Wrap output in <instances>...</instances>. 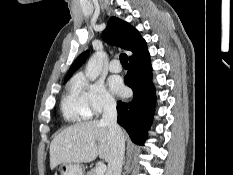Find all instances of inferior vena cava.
Returning a JSON list of instances; mask_svg holds the SVG:
<instances>
[{
    "instance_id": "602c4592",
    "label": "inferior vena cava",
    "mask_w": 233,
    "mask_h": 175,
    "mask_svg": "<svg viewBox=\"0 0 233 175\" xmlns=\"http://www.w3.org/2000/svg\"><path fill=\"white\" fill-rule=\"evenodd\" d=\"M100 122L108 126L111 138V156L108 161L106 175H121L125 152V140L123 132L117 123V110L114 99L106 100Z\"/></svg>"
}]
</instances>
